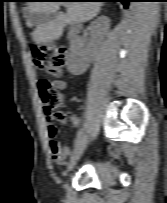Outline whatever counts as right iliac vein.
Listing matches in <instances>:
<instances>
[{
    "instance_id": "right-iliac-vein-1",
    "label": "right iliac vein",
    "mask_w": 167,
    "mask_h": 203,
    "mask_svg": "<svg viewBox=\"0 0 167 203\" xmlns=\"http://www.w3.org/2000/svg\"><path fill=\"white\" fill-rule=\"evenodd\" d=\"M87 141H88V137L86 135H84L82 137V139L80 140V142L77 144V146L71 156V159H70V163H69L68 170H67L68 172L74 168V166L76 165L80 156L84 152V150L87 146Z\"/></svg>"
}]
</instances>
